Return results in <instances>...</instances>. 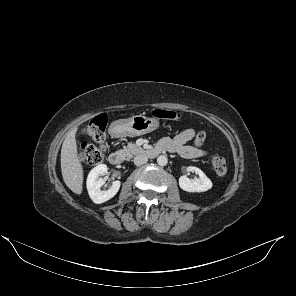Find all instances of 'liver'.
<instances>
[{"mask_svg": "<svg viewBox=\"0 0 296 296\" xmlns=\"http://www.w3.org/2000/svg\"><path fill=\"white\" fill-rule=\"evenodd\" d=\"M77 128L72 129L65 137L61 148V172L67 187L75 194L83 190V167L77 150Z\"/></svg>", "mask_w": 296, "mask_h": 296, "instance_id": "obj_1", "label": "liver"}]
</instances>
